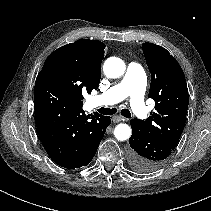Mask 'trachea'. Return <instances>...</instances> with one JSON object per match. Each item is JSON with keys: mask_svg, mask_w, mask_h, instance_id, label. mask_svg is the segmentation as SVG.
<instances>
[{"mask_svg": "<svg viewBox=\"0 0 211 211\" xmlns=\"http://www.w3.org/2000/svg\"><path fill=\"white\" fill-rule=\"evenodd\" d=\"M99 112L103 115H112V114H115L117 112V109L116 108L110 109V108L102 107V108L99 109ZM121 114H122V116H124L126 118L131 117L130 111L126 108L121 110Z\"/></svg>", "mask_w": 211, "mask_h": 211, "instance_id": "trachea-1", "label": "trachea"}]
</instances>
